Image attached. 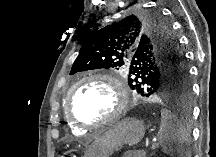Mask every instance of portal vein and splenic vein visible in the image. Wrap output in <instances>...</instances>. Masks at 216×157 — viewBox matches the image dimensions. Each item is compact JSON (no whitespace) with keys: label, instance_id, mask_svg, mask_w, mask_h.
I'll return each instance as SVG.
<instances>
[{"label":"portal vein and splenic vein","instance_id":"obj_1","mask_svg":"<svg viewBox=\"0 0 216 157\" xmlns=\"http://www.w3.org/2000/svg\"><path fill=\"white\" fill-rule=\"evenodd\" d=\"M152 148H156V145H153Z\"/></svg>","mask_w":216,"mask_h":157}]
</instances>
